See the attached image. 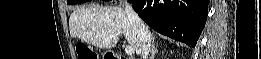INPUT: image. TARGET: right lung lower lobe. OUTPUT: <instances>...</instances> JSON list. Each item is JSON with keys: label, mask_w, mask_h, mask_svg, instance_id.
Instances as JSON below:
<instances>
[{"label": "right lung lower lobe", "mask_w": 261, "mask_h": 59, "mask_svg": "<svg viewBox=\"0 0 261 59\" xmlns=\"http://www.w3.org/2000/svg\"><path fill=\"white\" fill-rule=\"evenodd\" d=\"M155 31L195 47L205 26L208 0H131Z\"/></svg>", "instance_id": "right-lung-lower-lobe-1"}]
</instances>
